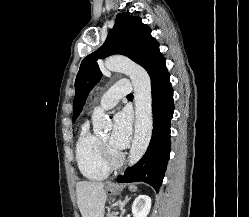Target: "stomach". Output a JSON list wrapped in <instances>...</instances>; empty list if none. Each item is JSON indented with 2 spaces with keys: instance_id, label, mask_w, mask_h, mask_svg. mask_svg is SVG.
Segmentation results:
<instances>
[{
  "instance_id": "stomach-1",
  "label": "stomach",
  "mask_w": 249,
  "mask_h": 217,
  "mask_svg": "<svg viewBox=\"0 0 249 217\" xmlns=\"http://www.w3.org/2000/svg\"><path fill=\"white\" fill-rule=\"evenodd\" d=\"M130 190L132 191H135L136 190V187L131 185L130 186ZM106 191L110 194H113V195H117L120 193L121 191V187L117 186V185H114V184H109L107 187H106Z\"/></svg>"
}]
</instances>
